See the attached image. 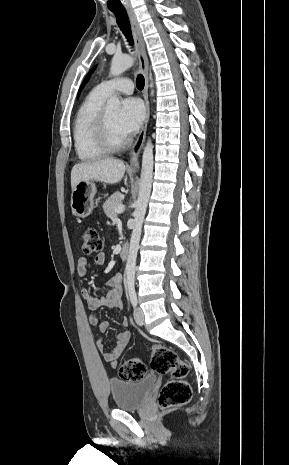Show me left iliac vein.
<instances>
[{
	"label": "left iliac vein",
	"mask_w": 289,
	"mask_h": 465,
	"mask_svg": "<svg viewBox=\"0 0 289 465\" xmlns=\"http://www.w3.org/2000/svg\"><path fill=\"white\" fill-rule=\"evenodd\" d=\"M134 319H135V322L139 326L144 325V321H145L144 312H143V310L141 308H139V307L135 308V310H134Z\"/></svg>",
	"instance_id": "left-iliac-vein-1"
}]
</instances>
